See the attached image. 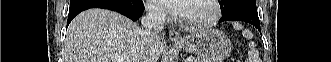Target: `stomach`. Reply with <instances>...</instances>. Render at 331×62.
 <instances>
[{
	"label": "stomach",
	"instance_id": "obj_1",
	"mask_svg": "<svg viewBox=\"0 0 331 62\" xmlns=\"http://www.w3.org/2000/svg\"><path fill=\"white\" fill-rule=\"evenodd\" d=\"M186 52L194 53L202 62H223L231 53V42L220 30H204L177 43Z\"/></svg>",
	"mask_w": 331,
	"mask_h": 62
}]
</instances>
